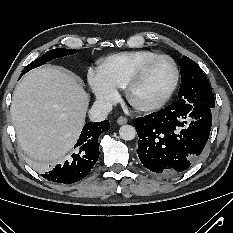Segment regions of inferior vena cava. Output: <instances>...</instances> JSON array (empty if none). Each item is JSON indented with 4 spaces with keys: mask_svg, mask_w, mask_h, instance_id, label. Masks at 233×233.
I'll list each match as a JSON object with an SVG mask.
<instances>
[{
    "mask_svg": "<svg viewBox=\"0 0 233 233\" xmlns=\"http://www.w3.org/2000/svg\"><path fill=\"white\" fill-rule=\"evenodd\" d=\"M112 110V105L105 101H95L90 112L89 117L93 122H100L107 118V115Z\"/></svg>",
    "mask_w": 233,
    "mask_h": 233,
    "instance_id": "obj_1",
    "label": "inferior vena cava"
}]
</instances>
